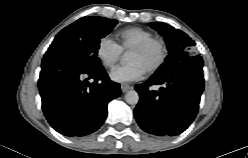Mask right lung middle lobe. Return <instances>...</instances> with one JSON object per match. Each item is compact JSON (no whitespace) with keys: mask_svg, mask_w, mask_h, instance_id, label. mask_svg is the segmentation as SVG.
Returning a JSON list of instances; mask_svg holds the SVG:
<instances>
[{"mask_svg":"<svg viewBox=\"0 0 248 158\" xmlns=\"http://www.w3.org/2000/svg\"><path fill=\"white\" fill-rule=\"evenodd\" d=\"M116 24L114 19L83 17L60 31L47 52L97 57L100 39L110 33Z\"/></svg>","mask_w":248,"mask_h":158,"instance_id":"right-lung-middle-lobe-1","label":"right lung middle lobe"}]
</instances>
